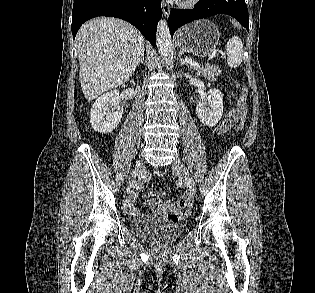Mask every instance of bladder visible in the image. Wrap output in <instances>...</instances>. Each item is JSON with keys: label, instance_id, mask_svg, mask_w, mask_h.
Returning <instances> with one entry per match:
<instances>
[{"label": "bladder", "instance_id": "31cf9c89", "mask_svg": "<svg viewBox=\"0 0 315 293\" xmlns=\"http://www.w3.org/2000/svg\"><path fill=\"white\" fill-rule=\"evenodd\" d=\"M130 228L135 235L155 246L172 244L184 230L181 223L147 217L133 219Z\"/></svg>", "mask_w": 315, "mask_h": 293}]
</instances>
